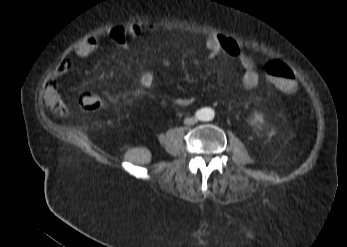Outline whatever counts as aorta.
<instances>
[{
	"mask_svg": "<svg viewBox=\"0 0 347 247\" xmlns=\"http://www.w3.org/2000/svg\"><path fill=\"white\" fill-rule=\"evenodd\" d=\"M214 117V113L211 109L204 108L199 112V118L203 121H210Z\"/></svg>",
	"mask_w": 347,
	"mask_h": 247,
	"instance_id": "762f6f07",
	"label": "aorta"
}]
</instances>
